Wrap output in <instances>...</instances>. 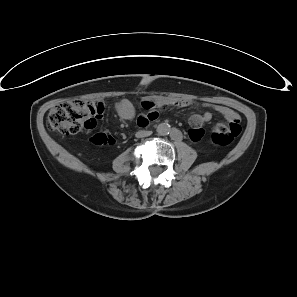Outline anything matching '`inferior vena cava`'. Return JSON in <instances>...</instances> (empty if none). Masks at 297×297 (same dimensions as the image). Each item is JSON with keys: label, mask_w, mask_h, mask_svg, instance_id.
Instances as JSON below:
<instances>
[{"label": "inferior vena cava", "mask_w": 297, "mask_h": 297, "mask_svg": "<svg viewBox=\"0 0 297 297\" xmlns=\"http://www.w3.org/2000/svg\"><path fill=\"white\" fill-rule=\"evenodd\" d=\"M151 134H152V131L140 130V131L136 132L135 136L137 138H142V137L150 136Z\"/></svg>", "instance_id": "602c4592"}]
</instances>
